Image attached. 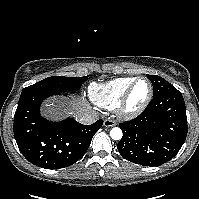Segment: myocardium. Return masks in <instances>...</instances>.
<instances>
[{
    "label": "myocardium",
    "instance_id": "1",
    "mask_svg": "<svg viewBox=\"0 0 199 199\" xmlns=\"http://www.w3.org/2000/svg\"><path fill=\"white\" fill-rule=\"evenodd\" d=\"M140 80H144L149 84V92L147 97L144 99V101L139 104L136 107H129V99L130 96L133 92V89L135 87V85L137 84L138 81ZM153 96V85L152 82L150 81L149 78L145 77V76H139L137 78H135L132 83L129 85V87L127 88V90L125 91L124 95L122 96L121 100L118 102V112L121 116L125 117V118H134L137 117L138 115H140L145 108L148 106V104L150 103L151 99Z\"/></svg>",
    "mask_w": 199,
    "mask_h": 199
}]
</instances>
